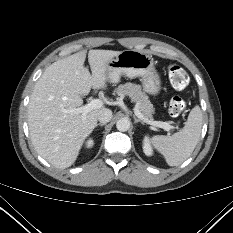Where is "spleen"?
<instances>
[{
    "label": "spleen",
    "mask_w": 233,
    "mask_h": 233,
    "mask_svg": "<svg viewBox=\"0 0 233 233\" xmlns=\"http://www.w3.org/2000/svg\"><path fill=\"white\" fill-rule=\"evenodd\" d=\"M202 119L200 107L195 106L179 132L172 136L152 137V144L165 157L169 166H178L191 155L200 138Z\"/></svg>",
    "instance_id": "1"
}]
</instances>
